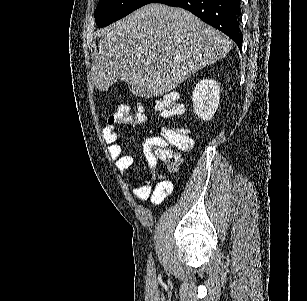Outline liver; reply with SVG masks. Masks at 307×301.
Here are the masks:
<instances>
[{
    "mask_svg": "<svg viewBox=\"0 0 307 301\" xmlns=\"http://www.w3.org/2000/svg\"><path fill=\"white\" fill-rule=\"evenodd\" d=\"M92 78L98 90L124 80L135 96L174 90L183 80L230 52L233 40L198 16L160 2L145 4L98 30Z\"/></svg>",
    "mask_w": 307,
    "mask_h": 301,
    "instance_id": "1",
    "label": "liver"
}]
</instances>
